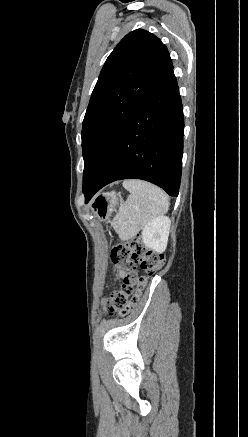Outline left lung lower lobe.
<instances>
[{
	"instance_id": "0a47b994",
	"label": "left lung lower lobe",
	"mask_w": 248,
	"mask_h": 437,
	"mask_svg": "<svg viewBox=\"0 0 248 437\" xmlns=\"http://www.w3.org/2000/svg\"><path fill=\"white\" fill-rule=\"evenodd\" d=\"M184 117L173 69L122 127L85 202L105 185L121 179L149 181L169 195L179 193Z\"/></svg>"
}]
</instances>
